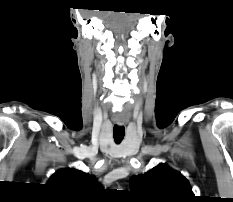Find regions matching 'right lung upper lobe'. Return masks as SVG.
Instances as JSON below:
<instances>
[{"instance_id":"1","label":"right lung upper lobe","mask_w":233,"mask_h":202,"mask_svg":"<svg viewBox=\"0 0 233 202\" xmlns=\"http://www.w3.org/2000/svg\"><path fill=\"white\" fill-rule=\"evenodd\" d=\"M47 184L69 193H82L100 187L95 176L74 168L58 170L50 177Z\"/></svg>"}]
</instances>
